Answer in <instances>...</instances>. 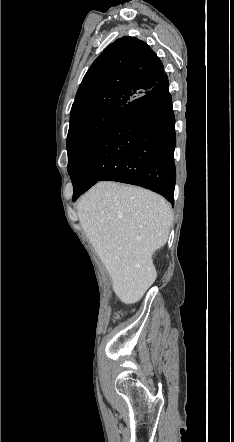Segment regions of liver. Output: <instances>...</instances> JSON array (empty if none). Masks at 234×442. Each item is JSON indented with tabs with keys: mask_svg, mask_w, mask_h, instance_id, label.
<instances>
[{
	"mask_svg": "<svg viewBox=\"0 0 234 442\" xmlns=\"http://www.w3.org/2000/svg\"><path fill=\"white\" fill-rule=\"evenodd\" d=\"M77 214L121 302H138L154 283L153 253L167 242L170 204L149 190L100 182L78 202Z\"/></svg>",
	"mask_w": 234,
	"mask_h": 442,
	"instance_id": "obj_1",
	"label": "liver"
}]
</instances>
